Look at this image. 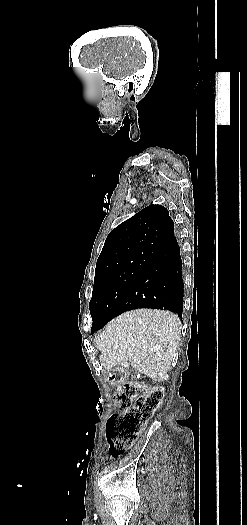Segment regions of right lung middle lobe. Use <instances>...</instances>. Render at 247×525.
Segmentation results:
<instances>
[{
  "mask_svg": "<svg viewBox=\"0 0 247 525\" xmlns=\"http://www.w3.org/2000/svg\"><path fill=\"white\" fill-rule=\"evenodd\" d=\"M150 260L151 256H147L124 269L95 272L93 293L89 304L93 320L92 328L99 325L104 326L117 315L118 306Z\"/></svg>",
  "mask_w": 247,
  "mask_h": 525,
  "instance_id": "obj_1",
  "label": "right lung middle lobe"
}]
</instances>
